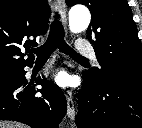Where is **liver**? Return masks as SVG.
I'll return each mask as SVG.
<instances>
[{"instance_id":"liver-1","label":"liver","mask_w":142,"mask_h":128,"mask_svg":"<svg viewBox=\"0 0 142 128\" xmlns=\"http://www.w3.org/2000/svg\"><path fill=\"white\" fill-rule=\"evenodd\" d=\"M0 128H27V127L20 123L0 121Z\"/></svg>"}]
</instances>
